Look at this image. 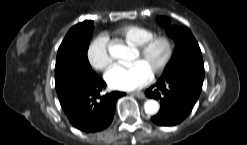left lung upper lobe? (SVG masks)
I'll return each mask as SVG.
<instances>
[{"mask_svg":"<svg viewBox=\"0 0 247 145\" xmlns=\"http://www.w3.org/2000/svg\"><path fill=\"white\" fill-rule=\"evenodd\" d=\"M159 23L166 26L167 34L174 39L176 47L164 74L171 73L182 67L204 68L199 45L192 32L187 28L169 25V19L161 17Z\"/></svg>","mask_w":247,"mask_h":145,"instance_id":"1","label":"left lung upper lobe"}]
</instances>
